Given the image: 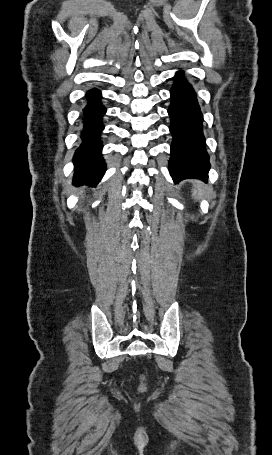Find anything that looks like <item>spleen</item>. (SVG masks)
Segmentation results:
<instances>
[{
  "label": "spleen",
  "instance_id": "obj_1",
  "mask_svg": "<svg viewBox=\"0 0 272 455\" xmlns=\"http://www.w3.org/2000/svg\"><path fill=\"white\" fill-rule=\"evenodd\" d=\"M196 185L199 189L197 191L196 188H194L193 193H192V196L194 199H197L202 196V190L200 189V186H201L200 182H197Z\"/></svg>",
  "mask_w": 272,
  "mask_h": 455
}]
</instances>
